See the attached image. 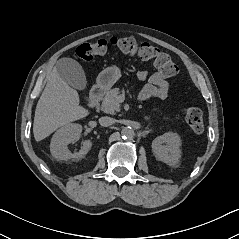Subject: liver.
I'll use <instances>...</instances> for the list:
<instances>
[{
	"mask_svg": "<svg viewBox=\"0 0 239 239\" xmlns=\"http://www.w3.org/2000/svg\"><path fill=\"white\" fill-rule=\"evenodd\" d=\"M79 103L77 91L61 78L54 67L36 106L33 122L35 140L41 141L59 127L86 117L89 111Z\"/></svg>",
	"mask_w": 239,
	"mask_h": 239,
	"instance_id": "1",
	"label": "liver"
}]
</instances>
